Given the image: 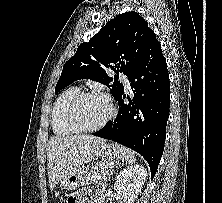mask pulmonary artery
Instances as JSON below:
<instances>
[{
    "label": "pulmonary artery",
    "mask_w": 222,
    "mask_h": 203,
    "mask_svg": "<svg viewBox=\"0 0 222 203\" xmlns=\"http://www.w3.org/2000/svg\"><path fill=\"white\" fill-rule=\"evenodd\" d=\"M122 80H123L125 86L127 88H130V82H129L128 77L126 75H122Z\"/></svg>",
    "instance_id": "1"
}]
</instances>
